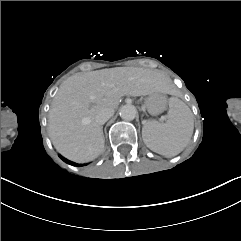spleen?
<instances>
[{
  "mask_svg": "<svg viewBox=\"0 0 241 241\" xmlns=\"http://www.w3.org/2000/svg\"><path fill=\"white\" fill-rule=\"evenodd\" d=\"M193 128L194 120L189 107L180 99L171 97L167 122L150 120L143 124L142 139L150 150L163 156H173L184 150Z\"/></svg>",
  "mask_w": 241,
  "mask_h": 241,
  "instance_id": "obj_1",
  "label": "spleen"
}]
</instances>
